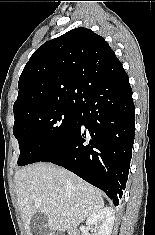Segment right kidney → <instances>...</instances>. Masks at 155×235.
I'll return each instance as SVG.
<instances>
[{
    "instance_id": "1",
    "label": "right kidney",
    "mask_w": 155,
    "mask_h": 235,
    "mask_svg": "<svg viewBox=\"0 0 155 235\" xmlns=\"http://www.w3.org/2000/svg\"><path fill=\"white\" fill-rule=\"evenodd\" d=\"M115 220V212L111 208H103L86 220V225L93 235H111Z\"/></svg>"
}]
</instances>
